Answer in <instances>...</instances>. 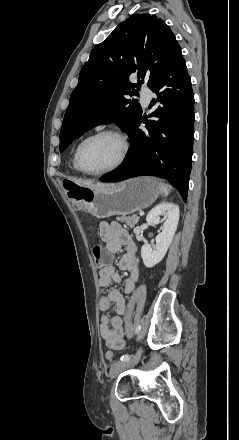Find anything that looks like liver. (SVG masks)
I'll return each instance as SVG.
<instances>
[{"instance_id":"obj_1","label":"liver","mask_w":239,"mask_h":440,"mask_svg":"<svg viewBox=\"0 0 239 440\" xmlns=\"http://www.w3.org/2000/svg\"><path fill=\"white\" fill-rule=\"evenodd\" d=\"M71 182L81 184V186H85V188H105V186H113V184H93V182H88V180H76V178H72Z\"/></svg>"}]
</instances>
